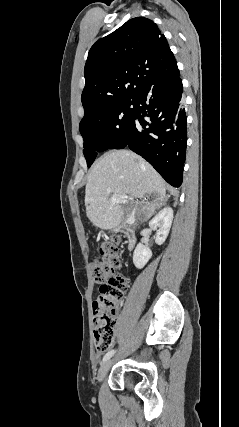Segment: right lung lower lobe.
<instances>
[{
    "mask_svg": "<svg viewBox=\"0 0 239 427\" xmlns=\"http://www.w3.org/2000/svg\"><path fill=\"white\" fill-rule=\"evenodd\" d=\"M179 73L144 89L136 98L129 147L172 186L180 187L186 157L187 117Z\"/></svg>",
    "mask_w": 239,
    "mask_h": 427,
    "instance_id": "right-lung-lower-lobe-1",
    "label": "right lung lower lobe"
}]
</instances>
